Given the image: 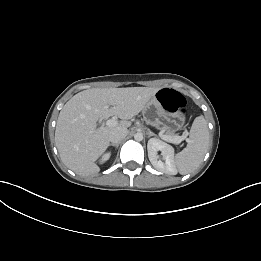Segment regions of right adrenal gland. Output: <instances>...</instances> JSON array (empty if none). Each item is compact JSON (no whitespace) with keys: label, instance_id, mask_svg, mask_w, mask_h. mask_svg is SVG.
Listing matches in <instances>:
<instances>
[{"label":"right adrenal gland","instance_id":"2a0ac1e0","mask_svg":"<svg viewBox=\"0 0 261 261\" xmlns=\"http://www.w3.org/2000/svg\"><path fill=\"white\" fill-rule=\"evenodd\" d=\"M110 146H115L116 147V149L118 148V146H119V143L118 144H110Z\"/></svg>","mask_w":261,"mask_h":261}]
</instances>
